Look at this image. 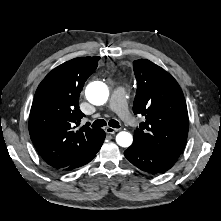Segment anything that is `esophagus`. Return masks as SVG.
<instances>
[{"instance_id": "esophagus-1", "label": "esophagus", "mask_w": 221, "mask_h": 221, "mask_svg": "<svg viewBox=\"0 0 221 221\" xmlns=\"http://www.w3.org/2000/svg\"><path fill=\"white\" fill-rule=\"evenodd\" d=\"M119 131V129H116V128H112V127H106L105 128V132L107 133V134H115L116 132H118Z\"/></svg>"}]
</instances>
